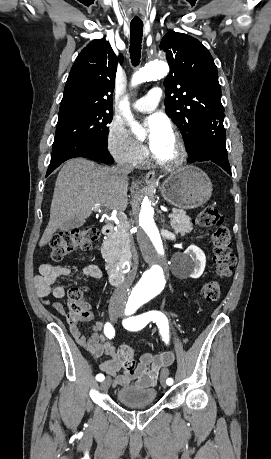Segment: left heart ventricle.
I'll use <instances>...</instances> for the list:
<instances>
[{"instance_id":"b2bd125f","label":"left heart ventricle","mask_w":271,"mask_h":459,"mask_svg":"<svg viewBox=\"0 0 271 459\" xmlns=\"http://www.w3.org/2000/svg\"><path fill=\"white\" fill-rule=\"evenodd\" d=\"M175 149L174 141L171 134L167 135L159 141L156 148L152 150L156 155L160 157H169L173 154Z\"/></svg>"}]
</instances>
